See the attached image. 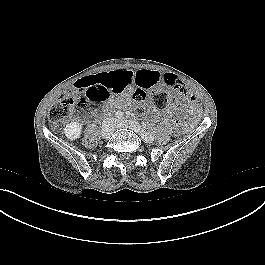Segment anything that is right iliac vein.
<instances>
[{"mask_svg":"<svg viewBox=\"0 0 265 265\" xmlns=\"http://www.w3.org/2000/svg\"><path fill=\"white\" fill-rule=\"evenodd\" d=\"M114 123L115 119H109L103 126L101 131V136L105 139L110 138L112 133L114 132Z\"/></svg>","mask_w":265,"mask_h":265,"instance_id":"63e3f726","label":"right iliac vein"}]
</instances>
